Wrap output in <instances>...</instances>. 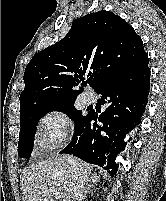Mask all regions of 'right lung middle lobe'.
<instances>
[{"instance_id": "1", "label": "right lung middle lobe", "mask_w": 166, "mask_h": 201, "mask_svg": "<svg viewBox=\"0 0 166 201\" xmlns=\"http://www.w3.org/2000/svg\"><path fill=\"white\" fill-rule=\"evenodd\" d=\"M50 111H61L69 115L75 123V131L86 120L87 116H82L81 111L74 107V101L54 107L33 110L20 115V134L18 142V154L20 157L29 158L33 150L34 136L38 121Z\"/></svg>"}]
</instances>
